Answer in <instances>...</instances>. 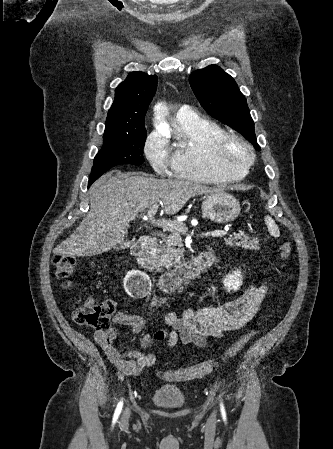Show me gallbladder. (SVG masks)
Listing matches in <instances>:
<instances>
[{
  "label": "gallbladder",
  "mask_w": 333,
  "mask_h": 449,
  "mask_svg": "<svg viewBox=\"0 0 333 449\" xmlns=\"http://www.w3.org/2000/svg\"><path fill=\"white\" fill-rule=\"evenodd\" d=\"M127 244L125 242H122L121 244H119L116 249H120V248H126Z\"/></svg>",
  "instance_id": "bac80fb5"
}]
</instances>
